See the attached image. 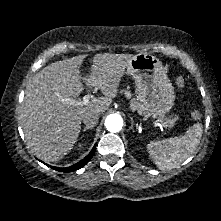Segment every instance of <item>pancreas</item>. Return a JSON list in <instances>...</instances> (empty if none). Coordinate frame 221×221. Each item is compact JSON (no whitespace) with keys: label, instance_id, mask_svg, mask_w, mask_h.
<instances>
[{"label":"pancreas","instance_id":"obj_1","mask_svg":"<svg viewBox=\"0 0 221 221\" xmlns=\"http://www.w3.org/2000/svg\"><path fill=\"white\" fill-rule=\"evenodd\" d=\"M122 92L125 94L126 97H130L131 96V92L129 90H122ZM132 106L137 109L139 114H143L145 116H149L150 115L148 112H146L145 107L141 103H132ZM164 120L167 123V126L173 127L175 125L177 117H173L172 119L165 118Z\"/></svg>","mask_w":221,"mask_h":221}]
</instances>
